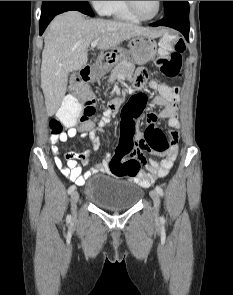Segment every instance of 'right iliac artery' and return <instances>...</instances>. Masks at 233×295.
<instances>
[{
    "instance_id": "obj_1",
    "label": "right iliac artery",
    "mask_w": 233,
    "mask_h": 295,
    "mask_svg": "<svg viewBox=\"0 0 233 295\" xmlns=\"http://www.w3.org/2000/svg\"><path fill=\"white\" fill-rule=\"evenodd\" d=\"M76 189L75 185H71L68 189V194H71L72 192H74V190Z\"/></svg>"
}]
</instances>
